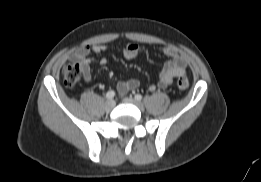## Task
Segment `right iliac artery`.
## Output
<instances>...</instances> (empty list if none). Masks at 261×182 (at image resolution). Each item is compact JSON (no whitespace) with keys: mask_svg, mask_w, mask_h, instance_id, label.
Wrapping results in <instances>:
<instances>
[{"mask_svg":"<svg viewBox=\"0 0 261 182\" xmlns=\"http://www.w3.org/2000/svg\"><path fill=\"white\" fill-rule=\"evenodd\" d=\"M115 95H116L115 91L110 90V91H108V92L106 93V98H107V99H113V98L115 97Z\"/></svg>","mask_w":261,"mask_h":182,"instance_id":"1","label":"right iliac artery"}]
</instances>
